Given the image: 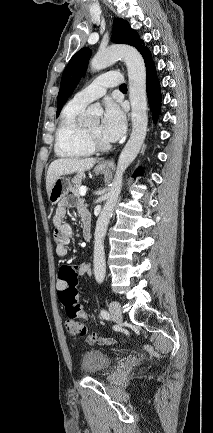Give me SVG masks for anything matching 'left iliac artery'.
<instances>
[{
    "label": "left iliac artery",
    "mask_w": 213,
    "mask_h": 433,
    "mask_svg": "<svg viewBox=\"0 0 213 433\" xmlns=\"http://www.w3.org/2000/svg\"><path fill=\"white\" fill-rule=\"evenodd\" d=\"M101 316H102L104 319H109V314H108V312H107L106 310H104V309L101 310Z\"/></svg>",
    "instance_id": "44dca946"
}]
</instances>
